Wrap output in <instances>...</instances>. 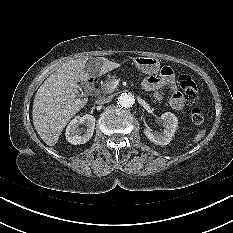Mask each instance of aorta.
<instances>
[{"label":"aorta","instance_id":"obj_1","mask_svg":"<svg viewBox=\"0 0 233 233\" xmlns=\"http://www.w3.org/2000/svg\"><path fill=\"white\" fill-rule=\"evenodd\" d=\"M135 103V98L131 93H122L118 97V105L122 108H130Z\"/></svg>","mask_w":233,"mask_h":233}]
</instances>
